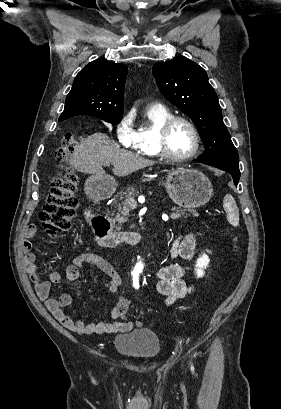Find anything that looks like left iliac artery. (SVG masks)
<instances>
[{
	"label": "left iliac artery",
	"instance_id": "1",
	"mask_svg": "<svg viewBox=\"0 0 281 409\" xmlns=\"http://www.w3.org/2000/svg\"><path fill=\"white\" fill-rule=\"evenodd\" d=\"M133 286H134L136 289L139 288V282H138V279H137V278H134V279H133Z\"/></svg>",
	"mask_w": 281,
	"mask_h": 409
}]
</instances>
